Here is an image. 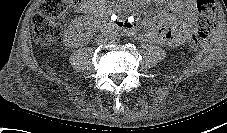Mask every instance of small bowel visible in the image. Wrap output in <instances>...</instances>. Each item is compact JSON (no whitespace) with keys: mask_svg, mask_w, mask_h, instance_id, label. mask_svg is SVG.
I'll use <instances>...</instances> for the list:
<instances>
[{"mask_svg":"<svg viewBox=\"0 0 227 133\" xmlns=\"http://www.w3.org/2000/svg\"><path fill=\"white\" fill-rule=\"evenodd\" d=\"M167 8L144 24L146 29L138 30L134 17L123 20L127 30L133 36L165 46H175L184 42L195 30V0H161ZM178 15V17H177Z\"/></svg>","mask_w":227,"mask_h":133,"instance_id":"obj_1","label":"small bowel"}]
</instances>
